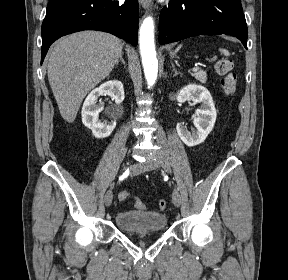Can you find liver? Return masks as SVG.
Segmentation results:
<instances>
[{
    "label": "liver",
    "instance_id": "liver-1",
    "mask_svg": "<svg viewBox=\"0 0 288 280\" xmlns=\"http://www.w3.org/2000/svg\"><path fill=\"white\" fill-rule=\"evenodd\" d=\"M122 49V40L98 31L74 33L55 43L47 73L64 120H75L83 99L110 74Z\"/></svg>",
    "mask_w": 288,
    "mask_h": 280
}]
</instances>
